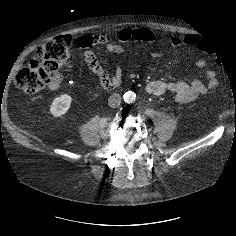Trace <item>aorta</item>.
Wrapping results in <instances>:
<instances>
[{
  "label": "aorta",
  "mask_w": 236,
  "mask_h": 236,
  "mask_svg": "<svg viewBox=\"0 0 236 236\" xmlns=\"http://www.w3.org/2000/svg\"><path fill=\"white\" fill-rule=\"evenodd\" d=\"M135 98H136V95H135V93L132 92V91H128V92H126V93L124 94V100H125V102H127V103H132V102H134Z\"/></svg>",
  "instance_id": "1"
}]
</instances>
